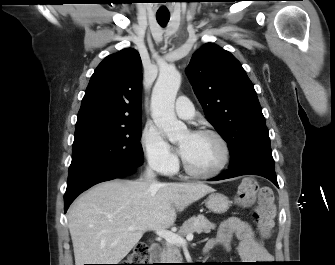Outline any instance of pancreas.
Returning a JSON list of instances; mask_svg holds the SVG:
<instances>
[{"label":"pancreas","mask_w":335,"mask_h":265,"mask_svg":"<svg viewBox=\"0 0 335 265\" xmlns=\"http://www.w3.org/2000/svg\"><path fill=\"white\" fill-rule=\"evenodd\" d=\"M215 224L211 223L204 215L193 216L183 223L179 234L186 236L189 233L197 232L198 234L210 233L215 229ZM161 259L164 263H180L182 255L177 244L167 242L163 248Z\"/></svg>","instance_id":"cf45deb5"}]
</instances>
